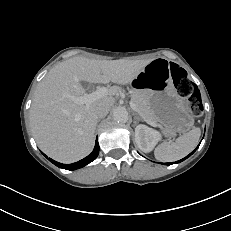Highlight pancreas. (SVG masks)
Returning <instances> with one entry per match:
<instances>
[{
	"instance_id": "pancreas-1",
	"label": "pancreas",
	"mask_w": 231,
	"mask_h": 231,
	"mask_svg": "<svg viewBox=\"0 0 231 231\" xmlns=\"http://www.w3.org/2000/svg\"><path fill=\"white\" fill-rule=\"evenodd\" d=\"M131 99L134 104H136L140 114L148 121L157 122L156 116L151 109L148 101L139 93L133 92L131 94Z\"/></svg>"
}]
</instances>
